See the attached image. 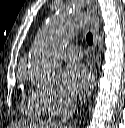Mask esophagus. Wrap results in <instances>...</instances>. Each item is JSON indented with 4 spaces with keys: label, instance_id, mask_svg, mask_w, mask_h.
<instances>
[{
    "label": "esophagus",
    "instance_id": "34e87169",
    "mask_svg": "<svg viewBox=\"0 0 125 128\" xmlns=\"http://www.w3.org/2000/svg\"><path fill=\"white\" fill-rule=\"evenodd\" d=\"M91 7H92V13H93L91 30H92V34H93V38H94L92 49H93V51H95L96 47H97L98 32H99V17L97 14L98 5L95 0L91 1ZM94 85H95V77L93 76L92 88ZM84 103H85V101H84Z\"/></svg>",
    "mask_w": 125,
    "mask_h": 128
}]
</instances>
